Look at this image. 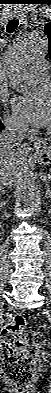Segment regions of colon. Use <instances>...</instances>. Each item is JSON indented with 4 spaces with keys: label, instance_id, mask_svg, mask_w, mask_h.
Segmentation results:
<instances>
[{
    "label": "colon",
    "instance_id": "5ec220e1",
    "mask_svg": "<svg viewBox=\"0 0 51 393\" xmlns=\"http://www.w3.org/2000/svg\"><path fill=\"white\" fill-rule=\"evenodd\" d=\"M2 375L15 393H27L36 370V363L26 348L27 331L25 319L16 315L1 331ZM33 344L45 345L41 332L33 335Z\"/></svg>",
    "mask_w": 51,
    "mask_h": 393
}]
</instances>
